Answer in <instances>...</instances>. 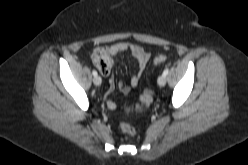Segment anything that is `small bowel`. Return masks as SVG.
<instances>
[{
    "instance_id": "small-bowel-1",
    "label": "small bowel",
    "mask_w": 248,
    "mask_h": 165,
    "mask_svg": "<svg viewBox=\"0 0 248 165\" xmlns=\"http://www.w3.org/2000/svg\"><path fill=\"white\" fill-rule=\"evenodd\" d=\"M125 52L130 53L132 56H134L138 62L137 72L131 77L130 81L128 83L119 84L120 91L124 94H128L133 88H135L138 85L140 78L150 59V54L143 47L128 42H116L109 47V53L111 56H115L117 54L125 53ZM111 70H112V65L108 70L102 72L103 75L109 77L108 90H107L108 93H111L116 86L115 80L111 75ZM108 106L110 108H114L115 103L109 100Z\"/></svg>"
}]
</instances>
